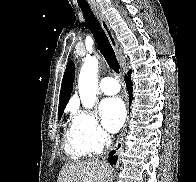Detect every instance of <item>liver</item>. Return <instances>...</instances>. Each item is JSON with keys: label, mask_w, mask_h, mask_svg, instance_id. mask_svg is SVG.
<instances>
[{"label": "liver", "mask_w": 196, "mask_h": 182, "mask_svg": "<svg viewBox=\"0 0 196 182\" xmlns=\"http://www.w3.org/2000/svg\"><path fill=\"white\" fill-rule=\"evenodd\" d=\"M112 167L106 162L88 160L64 165L57 182H109Z\"/></svg>", "instance_id": "6515ba94"}]
</instances>
